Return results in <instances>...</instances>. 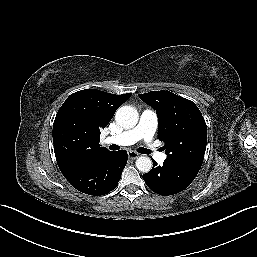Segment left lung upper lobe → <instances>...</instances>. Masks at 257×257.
<instances>
[{"label": "left lung upper lobe", "mask_w": 257, "mask_h": 257, "mask_svg": "<svg viewBox=\"0 0 257 257\" xmlns=\"http://www.w3.org/2000/svg\"><path fill=\"white\" fill-rule=\"evenodd\" d=\"M138 96L158 114V138L165 142L167 159L200 169L207 144V126L195 103L165 90Z\"/></svg>", "instance_id": "1"}]
</instances>
